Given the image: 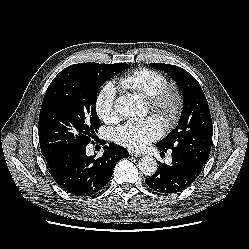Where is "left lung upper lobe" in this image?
<instances>
[{
  "mask_svg": "<svg viewBox=\"0 0 249 249\" xmlns=\"http://www.w3.org/2000/svg\"><path fill=\"white\" fill-rule=\"evenodd\" d=\"M151 67L168 73L179 85L183 95V111L176 128L156 146L194 159L204 166L209 158L213 126L209 106L198 81L181 67L151 63Z\"/></svg>",
  "mask_w": 249,
  "mask_h": 249,
  "instance_id": "5c2ea615",
  "label": "left lung upper lobe"
}]
</instances>
